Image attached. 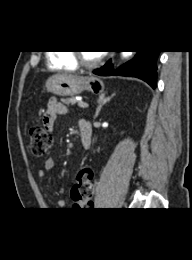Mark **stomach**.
Returning <instances> with one entry per match:
<instances>
[{
	"label": "stomach",
	"mask_w": 192,
	"mask_h": 260,
	"mask_svg": "<svg viewBox=\"0 0 192 260\" xmlns=\"http://www.w3.org/2000/svg\"><path fill=\"white\" fill-rule=\"evenodd\" d=\"M45 87L48 92L58 96H75L83 91L100 94L104 90L103 82L94 76L53 75L47 79Z\"/></svg>",
	"instance_id": "obj_1"
}]
</instances>
